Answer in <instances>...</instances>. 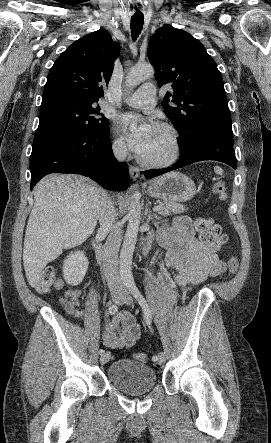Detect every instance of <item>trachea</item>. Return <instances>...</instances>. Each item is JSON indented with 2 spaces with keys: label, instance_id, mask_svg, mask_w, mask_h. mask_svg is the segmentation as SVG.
<instances>
[{
  "label": "trachea",
  "instance_id": "trachea-1",
  "mask_svg": "<svg viewBox=\"0 0 271 443\" xmlns=\"http://www.w3.org/2000/svg\"><path fill=\"white\" fill-rule=\"evenodd\" d=\"M130 4L135 5L137 4L138 0H129ZM133 17H131V35L133 40H136V38L141 33V30L143 28L144 24V16L142 10L139 9V7H134Z\"/></svg>",
  "mask_w": 271,
  "mask_h": 443
}]
</instances>
